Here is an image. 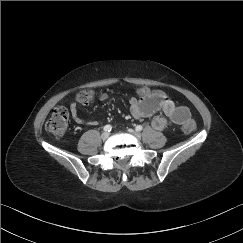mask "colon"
<instances>
[{"label":"colon","mask_w":243,"mask_h":243,"mask_svg":"<svg viewBox=\"0 0 243 243\" xmlns=\"http://www.w3.org/2000/svg\"><path fill=\"white\" fill-rule=\"evenodd\" d=\"M77 100L81 104H89L93 100V91L91 89L85 88L81 90L77 95ZM196 123L194 120L189 119L183 125V131L185 133H191L195 130ZM46 131L55 136L56 138L63 137L68 129V112L64 107H56L50 118L45 124Z\"/></svg>","instance_id":"obj_1"}]
</instances>
